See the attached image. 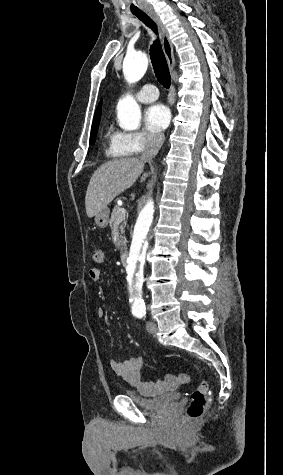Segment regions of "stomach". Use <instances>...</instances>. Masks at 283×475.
Instances as JSON below:
<instances>
[{"instance_id":"0dacf381","label":"stomach","mask_w":283,"mask_h":475,"mask_svg":"<svg viewBox=\"0 0 283 475\" xmlns=\"http://www.w3.org/2000/svg\"><path fill=\"white\" fill-rule=\"evenodd\" d=\"M109 214H110L109 208H103V210H101V212H99V214L95 216L94 218L95 224H97L99 228H106L109 222Z\"/></svg>"}]
</instances>
